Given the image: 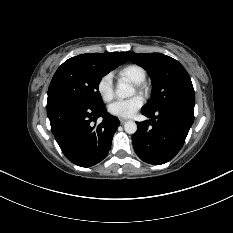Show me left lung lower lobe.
<instances>
[{
	"instance_id": "0a47b994",
	"label": "left lung lower lobe",
	"mask_w": 233,
	"mask_h": 233,
	"mask_svg": "<svg viewBox=\"0 0 233 233\" xmlns=\"http://www.w3.org/2000/svg\"><path fill=\"white\" fill-rule=\"evenodd\" d=\"M150 120L137 123L132 143L138 157L146 163L160 165L171 160L182 148L194 121V111L181 107L143 109Z\"/></svg>"
}]
</instances>
